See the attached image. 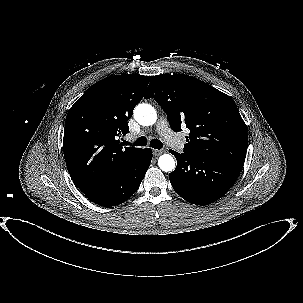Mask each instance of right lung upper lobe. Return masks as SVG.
Instances as JSON below:
<instances>
[{
    "label": "right lung upper lobe",
    "mask_w": 303,
    "mask_h": 303,
    "mask_svg": "<svg viewBox=\"0 0 303 303\" xmlns=\"http://www.w3.org/2000/svg\"><path fill=\"white\" fill-rule=\"evenodd\" d=\"M152 76L122 74L92 85L68 112L63 151L68 172L84 193L106 185L129 168L143 150L122 147L128 120Z\"/></svg>",
    "instance_id": "cb5924a9"
}]
</instances>
